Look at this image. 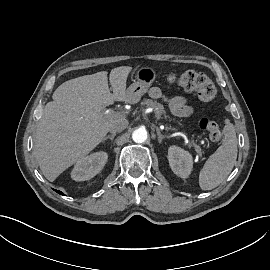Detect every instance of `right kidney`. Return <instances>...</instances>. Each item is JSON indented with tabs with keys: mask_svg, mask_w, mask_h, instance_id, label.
I'll list each match as a JSON object with an SVG mask.
<instances>
[{
	"mask_svg": "<svg viewBox=\"0 0 270 270\" xmlns=\"http://www.w3.org/2000/svg\"><path fill=\"white\" fill-rule=\"evenodd\" d=\"M107 159L108 154L103 151L80 158L71 171V178L75 181H85L93 178L103 169Z\"/></svg>",
	"mask_w": 270,
	"mask_h": 270,
	"instance_id": "1",
	"label": "right kidney"
}]
</instances>
